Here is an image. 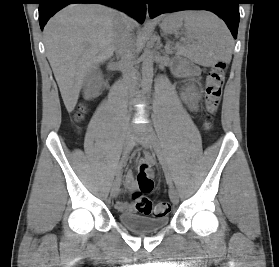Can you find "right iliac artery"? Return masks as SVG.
<instances>
[{"instance_id":"right-iliac-artery-1","label":"right iliac artery","mask_w":279,"mask_h":267,"mask_svg":"<svg viewBox=\"0 0 279 267\" xmlns=\"http://www.w3.org/2000/svg\"><path fill=\"white\" fill-rule=\"evenodd\" d=\"M130 150H131V148H128L127 150L124 151L122 158L117 166V171H116L117 176L121 175L122 169L127 163Z\"/></svg>"}]
</instances>
